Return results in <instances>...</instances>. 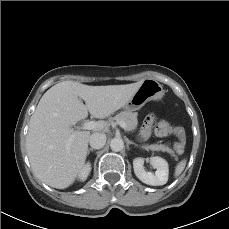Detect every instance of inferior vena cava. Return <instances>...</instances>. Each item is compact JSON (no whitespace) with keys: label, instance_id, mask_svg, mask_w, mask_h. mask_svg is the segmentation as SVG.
I'll return each mask as SVG.
<instances>
[{"label":"inferior vena cava","instance_id":"inferior-vena-cava-1","mask_svg":"<svg viewBox=\"0 0 229 229\" xmlns=\"http://www.w3.org/2000/svg\"><path fill=\"white\" fill-rule=\"evenodd\" d=\"M92 149H101L106 143V136L102 133H93L89 138Z\"/></svg>","mask_w":229,"mask_h":229}]
</instances>
